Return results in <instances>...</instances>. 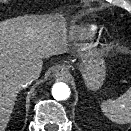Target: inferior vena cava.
Segmentation results:
<instances>
[{"mask_svg":"<svg viewBox=\"0 0 131 131\" xmlns=\"http://www.w3.org/2000/svg\"><path fill=\"white\" fill-rule=\"evenodd\" d=\"M37 78V75L34 71L25 72L21 75L19 83L22 87H26L31 84L34 79Z\"/></svg>","mask_w":131,"mask_h":131,"instance_id":"obj_1","label":"inferior vena cava"}]
</instances>
